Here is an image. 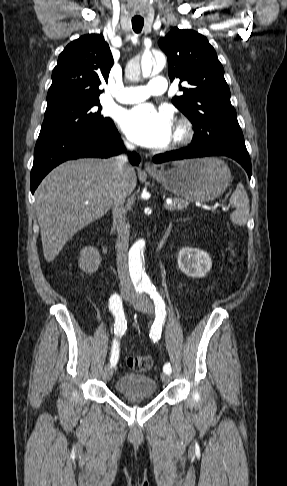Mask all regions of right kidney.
I'll return each mask as SVG.
<instances>
[{
	"label": "right kidney",
	"instance_id": "1",
	"mask_svg": "<svg viewBox=\"0 0 287 486\" xmlns=\"http://www.w3.org/2000/svg\"><path fill=\"white\" fill-rule=\"evenodd\" d=\"M101 262V256L94 247H85L80 251L78 265L85 273H94L97 271Z\"/></svg>",
	"mask_w": 287,
	"mask_h": 486
}]
</instances>
